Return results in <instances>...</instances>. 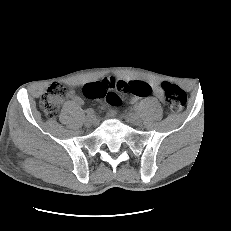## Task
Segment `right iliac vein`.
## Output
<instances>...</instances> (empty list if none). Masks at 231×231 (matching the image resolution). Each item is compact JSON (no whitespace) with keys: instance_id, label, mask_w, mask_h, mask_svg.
<instances>
[{"instance_id":"1","label":"right iliac vein","mask_w":231,"mask_h":231,"mask_svg":"<svg viewBox=\"0 0 231 231\" xmlns=\"http://www.w3.org/2000/svg\"><path fill=\"white\" fill-rule=\"evenodd\" d=\"M96 122V119L93 115H87L85 118V124L90 126Z\"/></svg>"}]
</instances>
